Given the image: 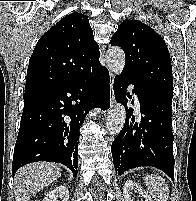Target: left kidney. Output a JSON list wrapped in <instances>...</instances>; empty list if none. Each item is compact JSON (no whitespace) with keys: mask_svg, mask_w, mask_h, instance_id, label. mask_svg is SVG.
Wrapping results in <instances>:
<instances>
[{"mask_svg":"<svg viewBox=\"0 0 196 201\" xmlns=\"http://www.w3.org/2000/svg\"><path fill=\"white\" fill-rule=\"evenodd\" d=\"M133 192L141 194L145 201H153L148 193L143 190V188L140 187L136 182L127 180L123 187L124 201H133V199H131Z\"/></svg>","mask_w":196,"mask_h":201,"instance_id":"obj_1","label":"left kidney"}]
</instances>
